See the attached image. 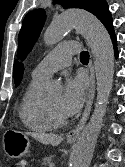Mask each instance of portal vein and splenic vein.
<instances>
[{"label": "portal vein and splenic vein", "mask_w": 125, "mask_h": 167, "mask_svg": "<svg viewBox=\"0 0 125 167\" xmlns=\"http://www.w3.org/2000/svg\"><path fill=\"white\" fill-rule=\"evenodd\" d=\"M49 167H55V164H54V163H51V164L49 165Z\"/></svg>", "instance_id": "18ae733b"}]
</instances>
